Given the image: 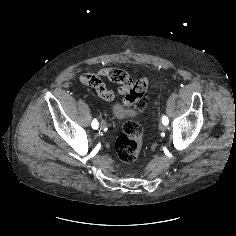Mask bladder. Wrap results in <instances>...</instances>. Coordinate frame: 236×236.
I'll list each match as a JSON object with an SVG mask.
<instances>
[{
	"mask_svg": "<svg viewBox=\"0 0 236 236\" xmlns=\"http://www.w3.org/2000/svg\"><path fill=\"white\" fill-rule=\"evenodd\" d=\"M135 113L132 107L124 106L120 102H115L112 105V114L117 120L130 117Z\"/></svg>",
	"mask_w": 236,
	"mask_h": 236,
	"instance_id": "obj_1",
	"label": "bladder"
}]
</instances>
